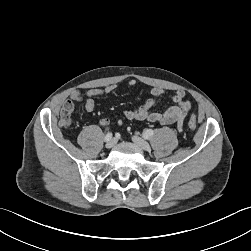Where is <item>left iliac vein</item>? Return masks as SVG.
Listing matches in <instances>:
<instances>
[{"label": "left iliac vein", "mask_w": 251, "mask_h": 251, "mask_svg": "<svg viewBox=\"0 0 251 251\" xmlns=\"http://www.w3.org/2000/svg\"><path fill=\"white\" fill-rule=\"evenodd\" d=\"M132 141L141 149L143 150H150V145L147 141H145L144 139L138 137V136H133L132 137Z\"/></svg>", "instance_id": "obj_1"}]
</instances>
